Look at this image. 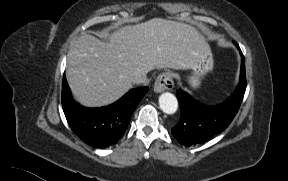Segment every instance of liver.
<instances>
[{
    "instance_id": "liver-1",
    "label": "liver",
    "mask_w": 288,
    "mask_h": 181,
    "mask_svg": "<svg viewBox=\"0 0 288 181\" xmlns=\"http://www.w3.org/2000/svg\"><path fill=\"white\" fill-rule=\"evenodd\" d=\"M108 40L84 34L69 49L67 82L85 106L118 100L153 69H190L194 50L204 42L193 26L163 18L120 27Z\"/></svg>"
}]
</instances>
